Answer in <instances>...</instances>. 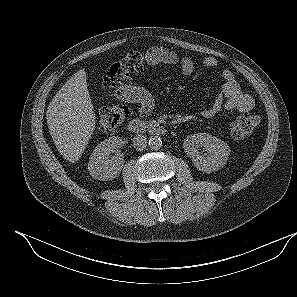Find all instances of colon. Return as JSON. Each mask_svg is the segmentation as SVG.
Listing matches in <instances>:
<instances>
[{
    "instance_id": "colon-1",
    "label": "colon",
    "mask_w": 297,
    "mask_h": 297,
    "mask_svg": "<svg viewBox=\"0 0 297 297\" xmlns=\"http://www.w3.org/2000/svg\"><path fill=\"white\" fill-rule=\"evenodd\" d=\"M145 64V56L140 51H130L119 60L113 62L103 75V85L108 90L124 86L131 74L141 70ZM127 108L122 105L104 107L99 113L97 127L101 132L116 130L127 116ZM260 123V116L246 113L235 119L230 125V137L242 140L251 135Z\"/></svg>"
}]
</instances>
